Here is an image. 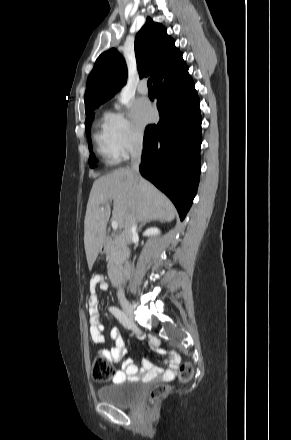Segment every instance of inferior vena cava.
Here are the masks:
<instances>
[{
	"label": "inferior vena cava",
	"instance_id": "inferior-vena-cava-1",
	"mask_svg": "<svg viewBox=\"0 0 291 440\" xmlns=\"http://www.w3.org/2000/svg\"><path fill=\"white\" fill-rule=\"evenodd\" d=\"M142 154V140L135 143L133 150L131 151V171L135 174H139V166L141 162ZM137 234V221L133 212L127 214L124 226V239L126 243H130L133 237ZM120 301H125V295L123 289L119 288L117 293Z\"/></svg>",
	"mask_w": 291,
	"mask_h": 440
}]
</instances>
